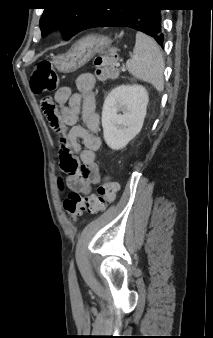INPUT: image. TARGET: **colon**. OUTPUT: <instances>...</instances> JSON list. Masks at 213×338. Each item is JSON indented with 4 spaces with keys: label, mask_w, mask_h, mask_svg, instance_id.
Instances as JSON below:
<instances>
[{
    "label": "colon",
    "mask_w": 213,
    "mask_h": 338,
    "mask_svg": "<svg viewBox=\"0 0 213 338\" xmlns=\"http://www.w3.org/2000/svg\"><path fill=\"white\" fill-rule=\"evenodd\" d=\"M118 51L115 47L110 46L103 50V52L95 58L96 76L100 80H105L113 77L116 72V61ZM30 85L32 91L36 94L50 93L58 89L59 79L53 69L50 61L39 62L30 77ZM44 113L54 127L57 137L60 142L63 141V131L59 127V121L54 115V107L48 103L42 106ZM61 157V168L67 173H74L80 168L78 161L73 157L70 149L66 146L59 148ZM118 191V184L110 179L102 181L97 188V192L91 195L82 196L76 192L69 193L64 199V208L73 221L84 213L99 214L104 211L107 203L113 201Z\"/></svg>",
    "instance_id": "colon-1"
}]
</instances>
